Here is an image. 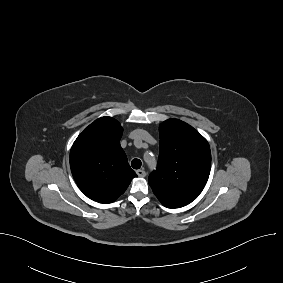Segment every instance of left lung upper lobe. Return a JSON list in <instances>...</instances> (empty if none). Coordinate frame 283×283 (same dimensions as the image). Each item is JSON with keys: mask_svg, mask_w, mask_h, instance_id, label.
Listing matches in <instances>:
<instances>
[{"mask_svg": "<svg viewBox=\"0 0 283 283\" xmlns=\"http://www.w3.org/2000/svg\"><path fill=\"white\" fill-rule=\"evenodd\" d=\"M160 154L149 185L163 206L180 208L195 200L210 174L207 140L192 126L169 119L159 126Z\"/></svg>", "mask_w": 283, "mask_h": 283, "instance_id": "obj_1", "label": "left lung upper lobe"}]
</instances>
